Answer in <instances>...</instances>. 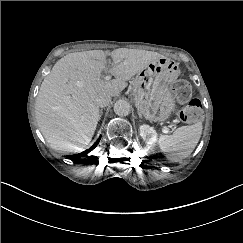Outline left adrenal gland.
Here are the masks:
<instances>
[{"mask_svg": "<svg viewBox=\"0 0 243 243\" xmlns=\"http://www.w3.org/2000/svg\"><path fill=\"white\" fill-rule=\"evenodd\" d=\"M138 114H139V117H140V118H142V115H141L140 111H139V113H138Z\"/></svg>", "mask_w": 243, "mask_h": 243, "instance_id": "1", "label": "left adrenal gland"}]
</instances>
